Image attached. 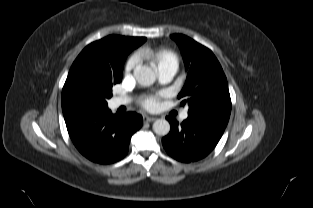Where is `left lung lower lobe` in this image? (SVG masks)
<instances>
[{
	"label": "left lung lower lobe",
	"instance_id": "obj_1",
	"mask_svg": "<svg viewBox=\"0 0 313 208\" xmlns=\"http://www.w3.org/2000/svg\"><path fill=\"white\" fill-rule=\"evenodd\" d=\"M171 125L170 133L162 139L167 153L181 162H194L206 157L217 145L226 121L188 115L180 125L166 117Z\"/></svg>",
	"mask_w": 313,
	"mask_h": 208
}]
</instances>
